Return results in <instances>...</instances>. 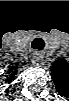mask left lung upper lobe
Instances as JSON below:
<instances>
[{
    "instance_id": "left-lung-upper-lobe-1",
    "label": "left lung upper lobe",
    "mask_w": 69,
    "mask_h": 101,
    "mask_svg": "<svg viewBox=\"0 0 69 101\" xmlns=\"http://www.w3.org/2000/svg\"><path fill=\"white\" fill-rule=\"evenodd\" d=\"M51 76L56 85V89L62 95H66L69 85V65L65 59H58L51 67Z\"/></svg>"
}]
</instances>
